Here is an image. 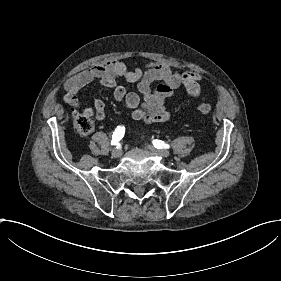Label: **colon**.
I'll use <instances>...</instances> for the list:
<instances>
[{"label":"colon","mask_w":281,"mask_h":281,"mask_svg":"<svg viewBox=\"0 0 281 281\" xmlns=\"http://www.w3.org/2000/svg\"><path fill=\"white\" fill-rule=\"evenodd\" d=\"M198 113L208 115L213 110V104L209 100H200L196 105ZM77 128L81 133H89L92 130V122L87 117H81L77 121Z\"/></svg>","instance_id":"5ec220e1"}]
</instances>
